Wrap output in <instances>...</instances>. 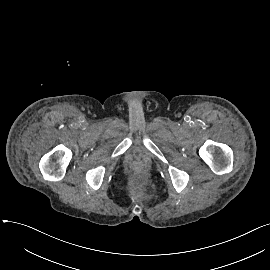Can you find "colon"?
Returning <instances> with one entry per match:
<instances>
[{
    "instance_id": "colon-1",
    "label": "colon",
    "mask_w": 270,
    "mask_h": 270,
    "mask_svg": "<svg viewBox=\"0 0 270 270\" xmlns=\"http://www.w3.org/2000/svg\"><path fill=\"white\" fill-rule=\"evenodd\" d=\"M135 177H136V179L138 180L139 183H143V181H144V176L142 175V173L137 172V173L135 174Z\"/></svg>"
}]
</instances>
